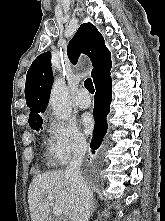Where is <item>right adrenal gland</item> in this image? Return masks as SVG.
<instances>
[{
  "label": "right adrenal gland",
  "mask_w": 165,
  "mask_h": 221,
  "mask_svg": "<svg viewBox=\"0 0 165 221\" xmlns=\"http://www.w3.org/2000/svg\"><path fill=\"white\" fill-rule=\"evenodd\" d=\"M95 209V199L92 201V209H91V214L94 212Z\"/></svg>",
  "instance_id": "1"
}]
</instances>
